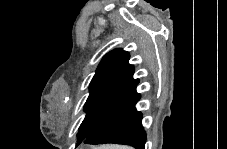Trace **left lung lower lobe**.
<instances>
[{"instance_id":"obj_1","label":"left lung lower lobe","mask_w":227,"mask_h":149,"mask_svg":"<svg viewBox=\"0 0 227 149\" xmlns=\"http://www.w3.org/2000/svg\"><path fill=\"white\" fill-rule=\"evenodd\" d=\"M139 79H134L114 107L99 121L82 143L125 144L136 149H144L146 133L142 126V114L135 108L140 100L136 87Z\"/></svg>"}]
</instances>
